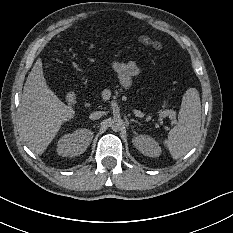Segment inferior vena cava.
<instances>
[{
    "instance_id": "1",
    "label": "inferior vena cava",
    "mask_w": 233,
    "mask_h": 233,
    "mask_svg": "<svg viewBox=\"0 0 233 233\" xmlns=\"http://www.w3.org/2000/svg\"><path fill=\"white\" fill-rule=\"evenodd\" d=\"M104 115L103 111H95L90 114V119L91 120H97L100 119Z\"/></svg>"
}]
</instances>
